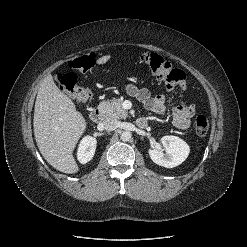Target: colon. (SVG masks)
Masks as SVG:
<instances>
[{
    "label": "colon",
    "instance_id": "1",
    "mask_svg": "<svg viewBox=\"0 0 247 247\" xmlns=\"http://www.w3.org/2000/svg\"><path fill=\"white\" fill-rule=\"evenodd\" d=\"M139 61L146 65L151 73L168 86L175 85L184 80L185 75L181 70L175 69L161 55L146 52L140 55ZM95 64L93 54H85L69 62L72 70L82 73L90 70ZM58 83L61 90L71 98L79 102H87L92 93L88 88L78 84L76 75L73 72L61 73L58 75ZM209 129V120L205 115H198L195 119V131L199 136H205Z\"/></svg>",
    "mask_w": 247,
    "mask_h": 247
}]
</instances>
